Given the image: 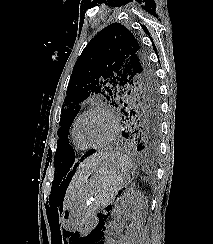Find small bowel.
I'll return each instance as SVG.
<instances>
[{
    "mask_svg": "<svg viewBox=\"0 0 213 244\" xmlns=\"http://www.w3.org/2000/svg\"><path fill=\"white\" fill-rule=\"evenodd\" d=\"M99 244H104L103 242H99Z\"/></svg>",
    "mask_w": 213,
    "mask_h": 244,
    "instance_id": "c3829d8e",
    "label": "small bowel"
}]
</instances>
